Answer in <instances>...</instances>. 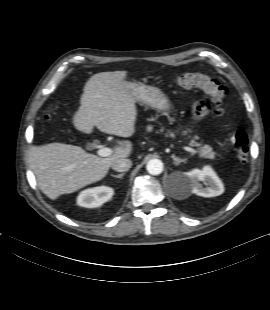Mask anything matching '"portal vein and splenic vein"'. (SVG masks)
Returning <instances> with one entry per match:
<instances>
[{
	"label": "portal vein and splenic vein",
	"mask_w": 270,
	"mask_h": 310,
	"mask_svg": "<svg viewBox=\"0 0 270 310\" xmlns=\"http://www.w3.org/2000/svg\"><path fill=\"white\" fill-rule=\"evenodd\" d=\"M184 150L190 152V153H197V151L191 147H188V146H185L184 147ZM113 153L112 149L110 148H100L98 151H97V154L101 157H108L110 156L111 154Z\"/></svg>",
	"instance_id": "1"
}]
</instances>
